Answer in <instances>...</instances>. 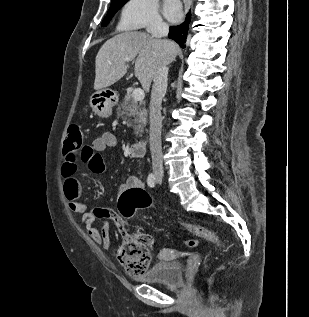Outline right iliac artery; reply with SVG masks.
I'll use <instances>...</instances> for the list:
<instances>
[{
  "instance_id": "right-iliac-artery-1",
  "label": "right iliac artery",
  "mask_w": 309,
  "mask_h": 317,
  "mask_svg": "<svg viewBox=\"0 0 309 317\" xmlns=\"http://www.w3.org/2000/svg\"><path fill=\"white\" fill-rule=\"evenodd\" d=\"M147 184L150 186V187H155L156 185V179H155V176L153 173H150L148 178H147Z\"/></svg>"
}]
</instances>
